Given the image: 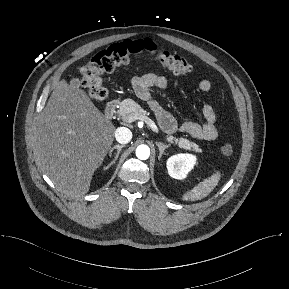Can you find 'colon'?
Here are the masks:
<instances>
[{"label":"colon","mask_w":289,"mask_h":289,"mask_svg":"<svg viewBox=\"0 0 289 289\" xmlns=\"http://www.w3.org/2000/svg\"><path fill=\"white\" fill-rule=\"evenodd\" d=\"M142 56L152 57L163 68L177 75H185L191 70V65L185 57L164 51L149 39L125 40L99 51L80 69L82 86L88 90L92 98L102 101L106 98L107 91L101 75L113 72L117 67ZM219 152L222 155H231L233 147L223 144L219 147Z\"/></svg>","instance_id":"colon-1"}]
</instances>
